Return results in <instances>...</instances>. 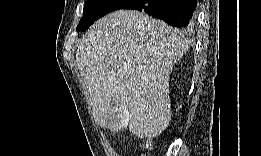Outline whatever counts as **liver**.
Wrapping results in <instances>:
<instances>
[{
    "label": "liver",
    "instance_id": "6515ba94",
    "mask_svg": "<svg viewBox=\"0 0 261 156\" xmlns=\"http://www.w3.org/2000/svg\"><path fill=\"white\" fill-rule=\"evenodd\" d=\"M189 44L178 29L139 11L97 20L76 52L96 123L141 139L160 135L171 119L169 76ZM113 112L117 120L108 125Z\"/></svg>",
    "mask_w": 261,
    "mask_h": 156
}]
</instances>
